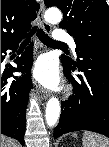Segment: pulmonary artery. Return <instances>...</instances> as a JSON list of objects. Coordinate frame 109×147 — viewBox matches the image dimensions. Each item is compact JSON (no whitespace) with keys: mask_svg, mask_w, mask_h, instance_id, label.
<instances>
[{"mask_svg":"<svg viewBox=\"0 0 109 147\" xmlns=\"http://www.w3.org/2000/svg\"><path fill=\"white\" fill-rule=\"evenodd\" d=\"M53 40H55L58 44H64V42H68L72 48L75 50L76 44L74 40L66 33L63 32H56L52 34Z\"/></svg>","mask_w":109,"mask_h":147,"instance_id":"pulmonary-artery-1","label":"pulmonary artery"}]
</instances>
